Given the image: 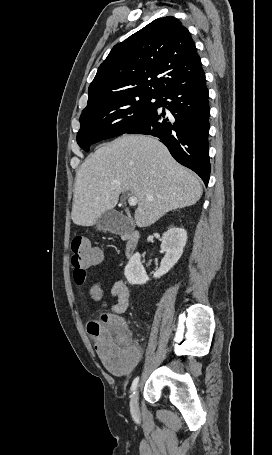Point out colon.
I'll use <instances>...</instances> for the list:
<instances>
[{"instance_id":"obj_1","label":"colon","mask_w":272,"mask_h":455,"mask_svg":"<svg viewBox=\"0 0 272 455\" xmlns=\"http://www.w3.org/2000/svg\"><path fill=\"white\" fill-rule=\"evenodd\" d=\"M71 251L77 288L82 295L88 294L92 299L100 300L103 296L102 286L98 283L88 286L87 269L102 261L101 250L92 246L87 238L75 237L71 242ZM102 320L104 323H119L108 315H103ZM87 331L103 365L109 371H123L133 364L137 351L125 335H115L111 328L103 326L100 322H90Z\"/></svg>"}]
</instances>
